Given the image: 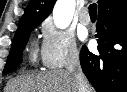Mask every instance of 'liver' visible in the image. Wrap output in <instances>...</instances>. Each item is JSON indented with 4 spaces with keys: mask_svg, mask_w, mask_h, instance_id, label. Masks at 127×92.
I'll use <instances>...</instances> for the list:
<instances>
[{
    "mask_svg": "<svg viewBox=\"0 0 127 92\" xmlns=\"http://www.w3.org/2000/svg\"><path fill=\"white\" fill-rule=\"evenodd\" d=\"M77 90L75 78L64 69L38 75H22L9 81L5 87V92H78ZM88 92H94L90 85Z\"/></svg>",
    "mask_w": 127,
    "mask_h": 92,
    "instance_id": "obj_1",
    "label": "liver"
}]
</instances>
